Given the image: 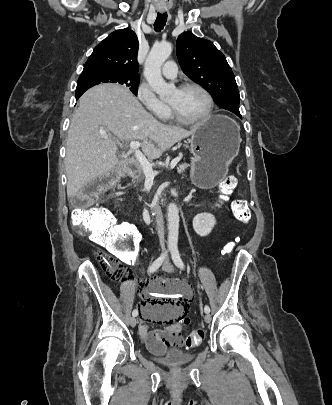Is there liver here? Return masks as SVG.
I'll use <instances>...</instances> for the list:
<instances>
[{"instance_id": "6515ba94", "label": "liver", "mask_w": 332, "mask_h": 405, "mask_svg": "<svg viewBox=\"0 0 332 405\" xmlns=\"http://www.w3.org/2000/svg\"><path fill=\"white\" fill-rule=\"evenodd\" d=\"M196 129L197 125L186 130L160 123L119 85L101 84L89 89L80 97L68 131V198L116 167L117 140L141 141L144 155L155 160Z\"/></svg>"}]
</instances>
